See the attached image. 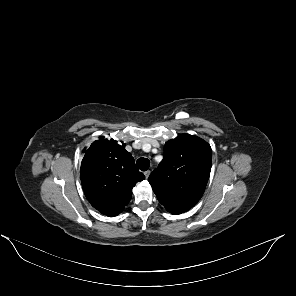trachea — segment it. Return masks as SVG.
Wrapping results in <instances>:
<instances>
[{
	"label": "trachea",
	"instance_id": "1",
	"mask_svg": "<svg viewBox=\"0 0 296 296\" xmlns=\"http://www.w3.org/2000/svg\"><path fill=\"white\" fill-rule=\"evenodd\" d=\"M150 166V161L147 158L141 157L137 160V167L142 170L146 171L148 170Z\"/></svg>",
	"mask_w": 296,
	"mask_h": 296
}]
</instances>
